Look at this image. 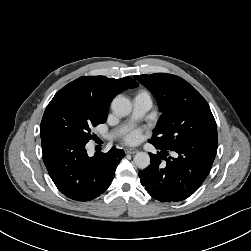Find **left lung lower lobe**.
Segmentation results:
<instances>
[{
	"label": "left lung lower lobe",
	"instance_id": "1",
	"mask_svg": "<svg viewBox=\"0 0 251 251\" xmlns=\"http://www.w3.org/2000/svg\"><path fill=\"white\" fill-rule=\"evenodd\" d=\"M161 154H150L151 165L139 171L141 184L161 202L182 201L191 196L208 176L217 144L199 142L178 145L170 149L178 155L166 157L167 149L152 143Z\"/></svg>",
	"mask_w": 251,
	"mask_h": 251
}]
</instances>
